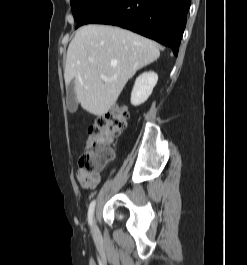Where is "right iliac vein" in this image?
Listing matches in <instances>:
<instances>
[{"mask_svg":"<svg viewBox=\"0 0 247 265\" xmlns=\"http://www.w3.org/2000/svg\"><path fill=\"white\" fill-rule=\"evenodd\" d=\"M93 232H94V234H97V232H98V228H97V224H96L95 219L93 220Z\"/></svg>","mask_w":247,"mask_h":265,"instance_id":"right-iliac-vein-1","label":"right iliac vein"}]
</instances>
